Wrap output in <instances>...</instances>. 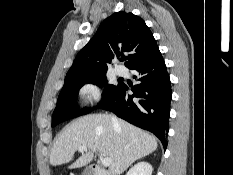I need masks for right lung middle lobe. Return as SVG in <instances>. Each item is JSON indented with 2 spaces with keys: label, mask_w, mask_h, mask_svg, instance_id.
<instances>
[{
  "label": "right lung middle lobe",
  "mask_w": 233,
  "mask_h": 175,
  "mask_svg": "<svg viewBox=\"0 0 233 175\" xmlns=\"http://www.w3.org/2000/svg\"><path fill=\"white\" fill-rule=\"evenodd\" d=\"M87 83H93L99 87L104 86L102 101L97 106V108H100L105 103H107L121 86V84H108L105 73L86 78L65 81L52 116V127L68 119L75 118L90 112V110L86 109L79 110L75 102L79 89Z\"/></svg>",
  "instance_id": "dd1d6c3e"
}]
</instances>
